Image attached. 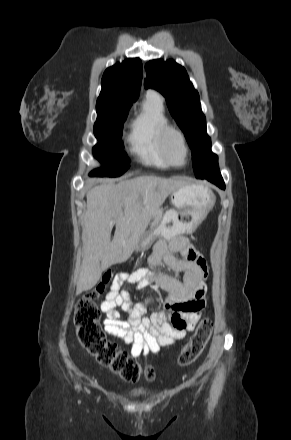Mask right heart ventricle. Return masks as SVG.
Listing matches in <instances>:
<instances>
[{
  "label": "right heart ventricle",
  "mask_w": 291,
  "mask_h": 440,
  "mask_svg": "<svg viewBox=\"0 0 291 440\" xmlns=\"http://www.w3.org/2000/svg\"><path fill=\"white\" fill-rule=\"evenodd\" d=\"M167 124L162 97L148 91L141 110L130 122L127 136L130 155L144 165L167 167L159 142L160 131Z\"/></svg>",
  "instance_id": "obj_1"
}]
</instances>
